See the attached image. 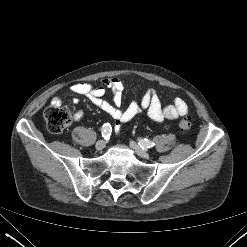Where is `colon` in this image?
<instances>
[{
  "label": "colon",
  "instance_id": "5ec220e1",
  "mask_svg": "<svg viewBox=\"0 0 247 247\" xmlns=\"http://www.w3.org/2000/svg\"><path fill=\"white\" fill-rule=\"evenodd\" d=\"M44 118L48 129L52 133H60L72 122V112L69 108L60 105H51L44 111ZM191 122L188 118H183L179 122V129L183 132L190 130Z\"/></svg>",
  "mask_w": 247,
  "mask_h": 247
}]
</instances>
